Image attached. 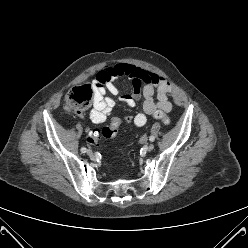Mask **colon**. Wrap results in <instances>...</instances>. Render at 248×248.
I'll list each match as a JSON object with an SVG mask.
<instances>
[{
  "label": "colon",
  "instance_id": "obj_1",
  "mask_svg": "<svg viewBox=\"0 0 248 248\" xmlns=\"http://www.w3.org/2000/svg\"><path fill=\"white\" fill-rule=\"evenodd\" d=\"M95 97V88L91 84L84 83L74 87L65 98V108L68 112L82 114L91 104ZM155 118L161 120L164 124L170 123V118L163 112H156ZM118 118L112 119L109 126L102 130L104 137L114 136L120 126ZM124 125L132 127L134 125V115L127 113L124 117ZM85 139L89 143H98L101 139V132L98 129H90L85 134Z\"/></svg>",
  "mask_w": 248,
  "mask_h": 248
}]
</instances>
